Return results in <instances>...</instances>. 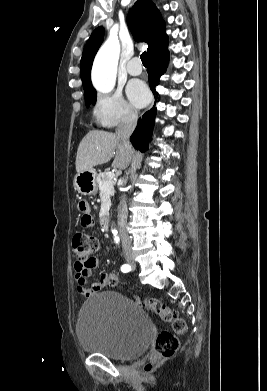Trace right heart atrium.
<instances>
[{"label":"right heart atrium","mask_w":267,"mask_h":391,"mask_svg":"<svg viewBox=\"0 0 267 391\" xmlns=\"http://www.w3.org/2000/svg\"><path fill=\"white\" fill-rule=\"evenodd\" d=\"M95 122L107 129L133 124L137 112L120 92L100 94L93 106Z\"/></svg>","instance_id":"right-heart-atrium-1"}]
</instances>
